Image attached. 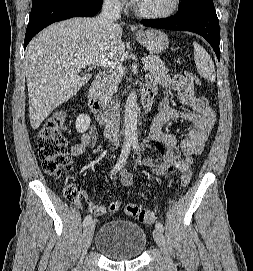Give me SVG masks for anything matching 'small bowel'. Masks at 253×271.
<instances>
[{
	"label": "small bowel",
	"instance_id": "c3829d8e",
	"mask_svg": "<svg viewBox=\"0 0 253 271\" xmlns=\"http://www.w3.org/2000/svg\"><path fill=\"white\" fill-rule=\"evenodd\" d=\"M195 83L194 77L184 75L170 77L165 74L152 76L147 81L145 91L151 92L153 95L158 91L163 93L159 112L153 119L150 133L145 140L147 148H154L161 152L159 158H148L144 161L145 165L156 174L165 176L173 170L188 172L193 163V156L203 152L205 144L210 138L216 123V115L205 98L196 96ZM168 89H173L177 93L178 99L188 107V110L169 107ZM175 119H185L193 124L187 137L180 144L174 134L163 131L164 125ZM97 134L95 127L82 133L80 142L71 146V155L79 157L87 147H94L97 142ZM110 178L113 182L120 181L125 186L134 182L132 175L126 170H121L119 177L113 174L110 175ZM89 208L97 216L107 213L104 206L93 202L90 203Z\"/></svg>",
	"mask_w": 253,
	"mask_h": 271
}]
</instances>
